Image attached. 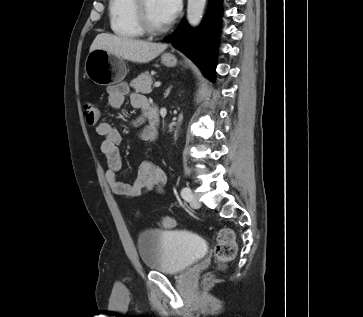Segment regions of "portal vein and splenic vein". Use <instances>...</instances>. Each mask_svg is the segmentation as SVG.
Masks as SVG:
<instances>
[{
  "label": "portal vein and splenic vein",
  "instance_id": "18ae733b",
  "mask_svg": "<svg viewBox=\"0 0 363 317\" xmlns=\"http://www.w3.org/2000/svg\"><path fill=\"white\" fill-rule=\"evenodd\" d=\"M161 83L160 82H155L154 83V87H160Z\"/></svg>",
  "mask_w": 363,
  "mask_h": 317
}]
</instances>
